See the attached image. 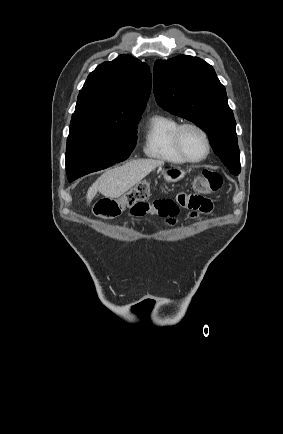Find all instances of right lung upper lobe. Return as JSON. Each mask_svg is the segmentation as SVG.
Here are the masks:
<instances>
[{
	"label": "right lung upper lobe",
	"instance_id": "1",
	"mask_svg": "<svg viewBox=\"0 0 283 434\" xmlns=\"http://www.w3.org/2000/svg\"><path fill=\"white\" fill-rule=\"evenodd\" d=\"M152 85L149 66L130 55L98 65L78 95L71 122L141 118Z\"/></svg>",
	"mask_w": 283,
	"mask_h": 434
}]
</instances>
